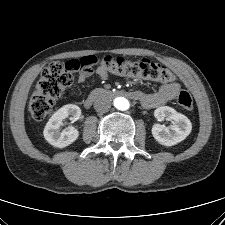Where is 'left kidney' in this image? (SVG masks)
Here are the masks:
<instances>
[{
  "label": "left kidney",
  "mask_w": 225,
  "mask_h": 225,
  "mask_svg": "<svg viewBox=\"0 0 225 225\" xmlns=\"http://www.w3.org/2000/svg\"><path fill=\"white\" fill-rule=\"evenodd\" d=\"M154 116L159 120L164 118L173 121V125L166 127L160 124H154L152 135L156 141L165 146H173L183 141L192 130L190 120L183 114L178 113L171 107L162 106L155 110Z\"/></svg>",
  "instance_id": "5707ae66"
}]
</instances>
